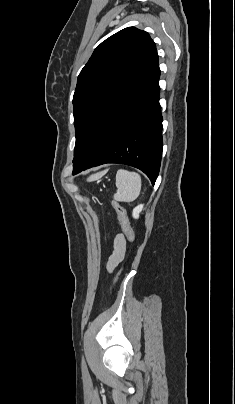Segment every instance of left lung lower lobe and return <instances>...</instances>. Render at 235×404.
<instances>
[{
	"label": "left lung lower lobe",
	"mask_w": 235,
	"mask_h": 404,
	"mask_svg": "<svg viewBox=\"0 0 235 404\" xmlns=\"http://www.w3.org/2000/svg\"><path fill=\"white\" fill-rule=\"evenodd\" d=\"M159 66L109 116L73 174L105 163L142 170L154 185L162 155V116L159 104Z\"/></svg>",
	"instance_id": "0a47b994"
}]
</instances>
